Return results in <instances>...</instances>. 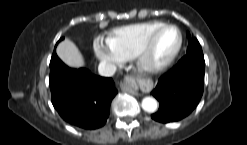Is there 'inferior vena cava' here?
Listing matches in <instances>:
<instances>
[{"label": "inferior vena cava", "instance_id": "1", "mask_svg": "<svg viewBox=\"0 0 247 145\" xmlns=\"http://www.w3.org/2000/svg\"><path fill=\"white\" fill-rule=\"evenodd\" d=\"M98 72L101 76L111 77L116 72V66L107 62H100L98 66Z\"/></svg>", "mask_w": 247, "mask_h": 145}]
</instances>
